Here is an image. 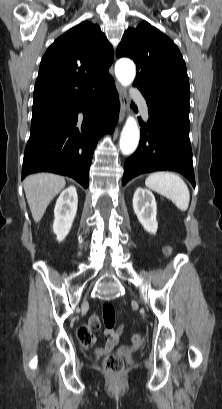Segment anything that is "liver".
<instances>
[{"mask_svg":"<svg viewBox=\"0 0 222 409\" xmlns=\"http://www.w3.org/2000/svg\"><path fill=\"white\" fill-rule=\"evenodd\" d=\"M65 178L51 173H38L25 178L23 186L32 217L38 223L51 200L65 187Z\"/></svg>","mask_w":222,"mask_h":409,"instance_id":"6515ba94","label":"liver"}]
</instances>
